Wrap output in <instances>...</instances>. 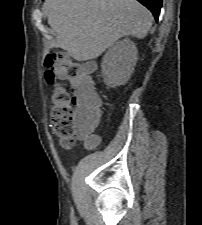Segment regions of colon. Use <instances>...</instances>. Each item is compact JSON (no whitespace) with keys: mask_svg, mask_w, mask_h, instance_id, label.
Wrapping results in <instances>:
<instances>
[{"mask_svg":"<svg viewBox=\"0 0 202 225\" xmlns=\"http://www.w3.org/2000/svg\"><path fill=\"white\" fill-rule=\"evenodd\" d=\"M43 76L53 86L52 105L49 110L51 131L61 145L69 148L76 140L95 145L98 139L87 125L76 121V100H88L92 110H101L102 104L96 93L91 74L77 61H62L61 55L50 54L44 60ZM63 82H67L65 86Z\"/></svg>","mask_w":202,"mask_h":225,"instance_id":"obj_1","label":"colon"}]
</instances>
